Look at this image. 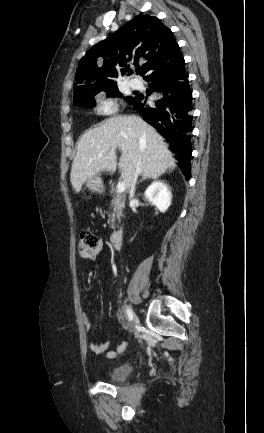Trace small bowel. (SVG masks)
<instances>
[{
    "mask_svg": "<svg viewBox=\"0 0 264 433\" xmlns=\"http://www.w3.org/2000/svg\"><path fill=\"white\" fill-rule=\"evenodd\" d=\"M104 244H105L104 240H99L94 249L81 254L82 259H84L85 261H89V262L96 261L100 252L102 251V249L104 247ZM82 320H83V323H84L86 330L90 331L92 329V324H91L89 317L87 316L86 313L82 314ZM127 346H128V342L123 341L117 347V349L115 351L108 352L107 357H109V358L115 357L116 355L122 353L126 349ZM89 347H90L91 352L98 355V354L106 352L109 349L110 342L105 341V342H100V343H91Z\"/></svg>",
    "mask_w": 264,
    "mask_h": 433,
    "instance_id": "c3829d8e",
    "label": "small bowel"
}]
</instances>
